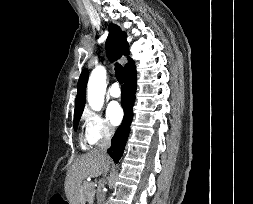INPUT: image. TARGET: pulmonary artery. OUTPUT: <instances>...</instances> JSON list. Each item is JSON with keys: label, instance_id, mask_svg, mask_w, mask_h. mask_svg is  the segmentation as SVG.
I'll list each match as a JSON object with an SVG mask.
<instances>
[{"label": "pulmonary artery", "instance_id": "pulmonary-artery-1", "mask_svg": "<svg viewBox=\"0 0 253 204\" xmlns=\"http://www.w3.org/2000/svg\"><path fill=\"white\" fill-rule=\"evenodd\" d=\"M109 93L112 97L117 98L121 95V90L117 83L112 84V86L109 89Z\"/></svg>", "mask_w": 253, "mask_h": 204}]
</instances>
